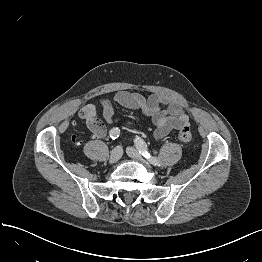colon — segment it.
Returning <instances> with one entry per match:
<instances>
[{
  "mask_svg": "<svg viewBox=\"0 0 262 262\" xmlns=\"http://www.w3.org/2000/svg\"><path fill=\"white\" fill-rule=\"evenodd\" d=\"M192 138V131L189 127H183L178 132V140L182 143H189Z\"/></svg>",
  "mask_w": 262,
  "mask_h": 262,
  "instance_id": "obj_1",
  "label": "colon"
}]
</instances>
